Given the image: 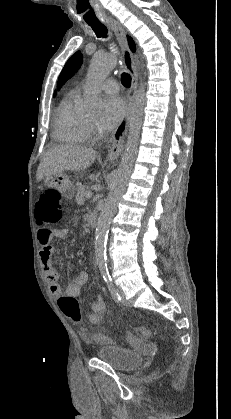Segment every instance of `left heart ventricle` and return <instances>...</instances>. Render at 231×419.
Listing matches in <instances>:
<instances>
[{"instance_id": "b2bd125f", "label": "left heart ventricle", "mask_w": 231, "mask_h": 419, "mask_svg": "<svg viewBox=\"0 0 231 419\" xmlns=\"http://www.w3.org/2000/svg\"><path fill=\"white\" fill-rule=\"evenodd\" d=\"M91 119H92V120H96V117H92Z\"/></svg>"}]
</instances>
